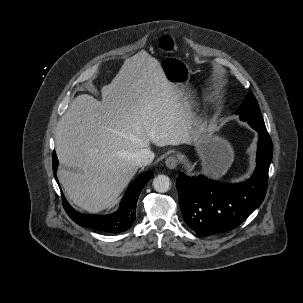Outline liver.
I'll list each match as a JSON object with an SVG mask.
<instances>
[{
  "instance_id": "liver-1",
  "label": "liver",
  "mask_w": 303,
  "mask_h": 303,
  "mask_svg": "<svg viewBox=\"0 0 303 303\" xmlns=\"http://www.w3.org/2000/svg\"><path fill=\"white\" fill-rule=\"evenodd\" d=\"M102 102L77 96L56 127L58 178L67 197L96 213L111 206L138 166L141 149L189 144L192 111L183 94L165 76L160 62L141 50L126 59Z\"/></svg>"
}]
</instances>
